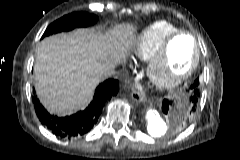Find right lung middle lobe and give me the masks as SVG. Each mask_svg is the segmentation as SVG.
Listing matches in <instances>:
<instances>
[{
  "instance_id": "obj_1",
  "label": "right lung middle lobe",
  "mask_w": 240,
  "mask_h": 160,
  "mask_svg": "<svg viewBox=\"0 0 240 160\" xmlns=\"http://www.w3.org/2000/svg\"><path fill=\"white\" fill-rule=\"evenodd\" d=\"M97 19V16L86 12L71 13L50 24L44 32L43 37L61 31H69L75 27L89 26L90 24H94Z\"/></svg>"
}]
</instances>
